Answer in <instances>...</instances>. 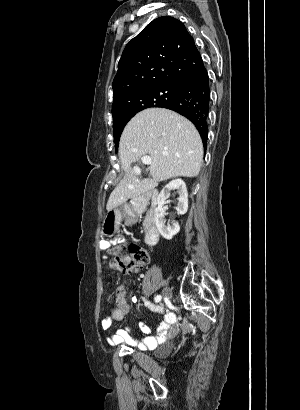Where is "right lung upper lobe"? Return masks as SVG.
Wrapping results in <instances>:
<instances>
[{"instance_id": "cb5924a9", "label": "right lung upper lobe", "mask_w": 300, "mask_h": 410, "mask_svg": "<svg viewBox=\"0 0 300 410\" xmlns=\"http://www.w3.org/2000/svg\"><path fill=\"white\" fill-rule=\"evenodd\" d=\"M202 62L181 21L170 16L153 20L127 44L119 60L113 81V118L123 115L140 91L182 86Z\"/></svg>"}]
</instances>
